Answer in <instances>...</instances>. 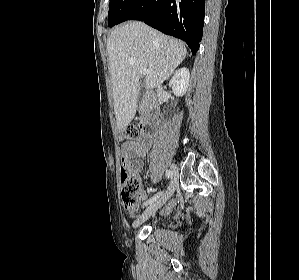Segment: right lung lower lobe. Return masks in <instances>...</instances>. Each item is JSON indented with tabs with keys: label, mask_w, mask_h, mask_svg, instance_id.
<instances>
[{
	"label": "right lung lower lobe",
	"mask_w": 299,
	"mask_h": 280,
	"mask_svg": "<svg viewBox=\"0 0 299 280\" xmlns=\"http://www.w3.org/2000/svg\"><path fill=\"white\" fill-rule=\"evenodd\" d=\"M205 0H137L122 16L184 40L193 54L203 35Z\"/></svg>",
	"instance_id": "98d812e1"
}]
</instances>
